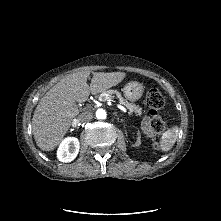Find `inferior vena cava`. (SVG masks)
<instances>
[{
    "mask_svg": "<svg viewBox=\"0 0 221 221\" xmlns=\"http://www.w3.org/2000/svg\"><path fill=\"white\" fill-rule=\"evenodd\" d=\"M92 118H93V113L90 111L82 112L78 116L79 121H88V120H91Z\"/></svg>",
    "mask_w": 221,
    "mask_h": 221,
    "instance_id": "inferior-vena-cava-1",
    "label": "inferior vena cava"
}]
</instances>
